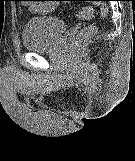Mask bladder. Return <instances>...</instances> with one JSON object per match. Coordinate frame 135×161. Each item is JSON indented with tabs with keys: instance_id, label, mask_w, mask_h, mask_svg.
Here are the masks:
<instances>
[{
	"instance_id": "obj_1",
	"label": "bladder",
	"mask_w": 135,
	"mask_h": 161,
	"mask_svg": "<svg viewBox=\"0 0 135 161\" xmlns=\"http://www.w3.org/2000/svg\"><path fill=\"white\" fill-rule=\"evenodd\" d=\"M65 30L66 25L59 17L30 18L22 32L23 46L29 51H42L53 48Z\"/></svg>"
}]
</instances>
